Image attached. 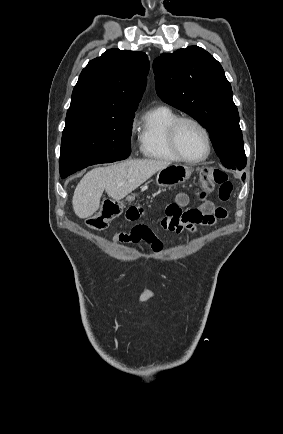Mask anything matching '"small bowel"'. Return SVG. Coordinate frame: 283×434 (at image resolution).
<instances>
[{
  "label": "small bowel",
  "mask_w": 283,
  "mask_h": 434,
  "mask_svg": "<svg viewBox=\"0 0 283 434\" xmlns=\"http://www.w3.org/2000/svg\"><path fill=\"white\" fill-rule=\"evenodd\" d=\"M189 204V196L179 193L174 202L169 203L165 208V217L162 220V227L166 231L181 233L185 230L195 232L197 226H213L217 221L227 216L224 208H214L213 204L205 199V192L199 195V206L184 210ZM144 207L132 205L127 209L126 220L136 221L144 215ZM115 242L138 243L148 242L153 251L159 252L162 249V242L154 232L145 225H136L128 232H121L114 237Z\"/></svg>",
  "instance_id": "c3829d8e"
}]
</instances>
